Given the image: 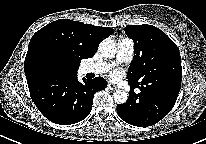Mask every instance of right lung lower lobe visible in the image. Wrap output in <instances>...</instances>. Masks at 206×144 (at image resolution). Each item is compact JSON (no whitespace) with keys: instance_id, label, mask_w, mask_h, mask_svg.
<instances>
[{"instance_id":"98d812e1","label":"right lung lower lobe","mask_w":206,"mask_h":144,"mask_svg":"<svg viewBox=\"0 0 206 144\" xmlns=\"http://www.w3.org/2000/svg\"><path fill=\"white\" fill-rule=\"evenodd\" d=\"M107 87L102 77L79 82L77 75L44 76L28 83L31 98L50 121L70 125L84 120L92 109L94 94Z\"/></svg>"}]
</instances>
